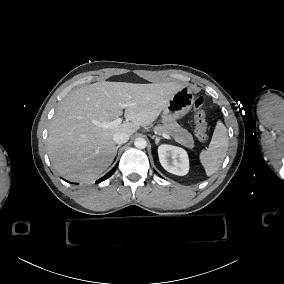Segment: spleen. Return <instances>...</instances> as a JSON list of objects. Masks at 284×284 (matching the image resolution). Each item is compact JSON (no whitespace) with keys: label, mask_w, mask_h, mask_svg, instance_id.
Here are the masks:
<instances>
[{"label":"spleen","mask_w":284,"mask_h":284,"mask_svg":"<svg viewBox=\"0 0 284 284\" xmlns=\"http://www.w3.org/2000/svg\"><path fill=\"white\" fill-rule=\"evenodd\" d=\"M228 132L221 119H217L208 149L199 153V161L206 176H212L223 163L228 150Z\"/></svg>","instance_id":"1"}]
</instances>
